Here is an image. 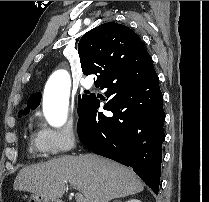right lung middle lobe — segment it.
I'll return each instance as SVG.
<instances>
[{"label":"right lung middle lobe","instance_id":"obj_1","mask_svg":"<svg viewBox=\"0 0 209 202\" xmlns=\"http://www.w3.org/2000/svg\"><path fill=\"white\" fill-rule=\"evenodd\" d=\"M86 94H83V96H79L78 97V103H79V108H78V114L79 116L84 112V110L86 109L87 105H88V101L91 97V95H88L87 92H85ZM30 109H35V108H26L24 109V111L19 112L18 116L21 117L23 114H28Z\"/></svg>","mask_w":209,"mask_h":202}]
</instances>
